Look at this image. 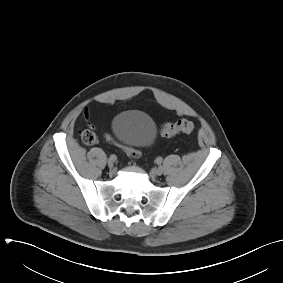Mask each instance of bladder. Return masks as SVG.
<instances>
[{
    "label": "bladder",
    "mask_w": 283,
    "mask_h": 283,
    "mask_svg": "<svg viewBox=\"0 0 283 283\" xmlns=\"http://www.w3.org/2000/svg\"><path fill=\"white\" fill-rule=\"evenodd\" d=\"M111 128L116 140L130 148L149 147L157 136L155 122L148 114L140 110L118 113L112 120Z\"/></svg>",
    "instance_id": "31cf9c89"
}]
</instances>
